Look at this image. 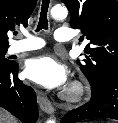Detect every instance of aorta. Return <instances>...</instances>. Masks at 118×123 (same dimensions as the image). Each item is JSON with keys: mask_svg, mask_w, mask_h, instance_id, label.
<instances>
[{"mask_svg": "<svg viewBox=\"0 0 118 123\" xmlns=\"http://www.w3.org/2000/svg\"><path fill=\"white\" fill-rule=\"evenodd\" d=\"M67 14V8L61 5H56L51 9V15L55 19H65L67 17ZM47 123H56V120L50 118Z\"/></svg>", "mask_w": 118, "mask_h": 123, "instance_id": "aorta-1", "label": "aorta"}]
</instances>
